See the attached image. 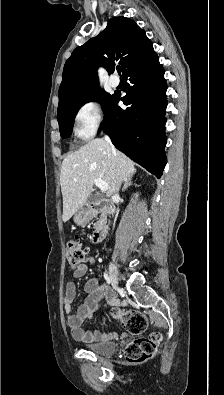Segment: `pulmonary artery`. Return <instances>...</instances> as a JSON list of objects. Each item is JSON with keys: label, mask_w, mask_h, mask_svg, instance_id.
Returning a JSON list of instances; mask_svg holds the SVG:
<instances>
[{"label": "pulmonary artery", "mask_w": 224, "mask_h": 395, "mask_svg": "<svg viewBox=\"0 0 224 395\" xmlns=\"http://www.w3.org/2000/svg\"><path fill=\"white\" fill-rule=\"evenodd\" d=\"M119 85V81L117 78H113L110 80V86L116 88Z\"/></svg>", "instance_id": "obj_1"}]
</instances>
